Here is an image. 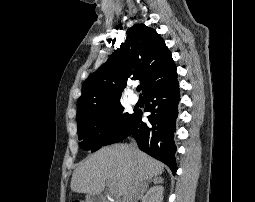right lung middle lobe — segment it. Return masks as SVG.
Here are the masks:
<instances>
[{
    "label": "right lung middle lobe",
    "mask_w": 255,
    "mask_h": 202,
    "mask_svg": "<svg viewBox=\"0 0 255 202\" xmlns=\"http://www.w3.org/2000/svg\"><path fill=\"white\" fill-rule=\"evenodd\" d=\"M134 113L124 112L120 104L92 110L77 118L79 146L84 150H98L102 145H109L124 139ZM109 126V127H108Z\"/></svg>",
    "instance_id": "obj_1"
}]
</instances>
